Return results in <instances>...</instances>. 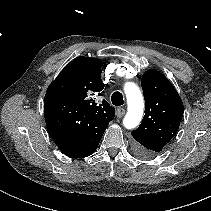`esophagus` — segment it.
<instances>
[{
    "label": "esophagus",
    "mask_w": 211,
    "mask_h": 211,
    "mask_svg": "<svg viewBox=\"0 0 211 211\" xmlns=\"http://www.w3.org/2000/svg\"><path fill=\"white\" fill-rule=\"evenodd\" d=\"M124 114H125V109H123V108H117V109H116V116H117L118 118L123 117Z\"/></svg>",
    "instance_id": "1"
}]
</instances>
